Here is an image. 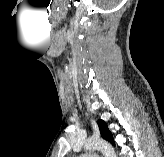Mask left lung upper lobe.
Instances as JSON below:
<instances>
[{"label":"left lung upper lobe","instance_id":"left-lung-upper-lobe-1","mask_svg":"<svg viewBox=\"0 0 164 157\" xmlns=\"http://www.w3.org/2000/svg\"><path fill=\"white\" fill-rule=\"evenodd\" d=\"M98 125L100 128V132H101L102 137L114 144L115 142L113 139V135L109 131L107 124L102 120H98Z\"/></svg>","mask_w":164,"mask_h":157}]
</instances>
